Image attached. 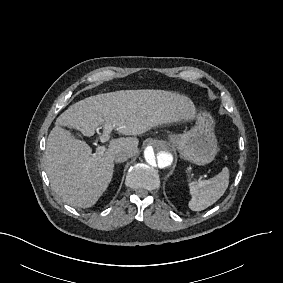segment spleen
<instances>
[{"label": "spleen", "mask_w": 283, "mask_h": 283, "mask_svg": "<svg viewBox=\"0 0 283 283\" xmlns=\"http://www.w3.org/2000/svg\"><path fill=\"white\" fill-rule=\"evenodd\" d=\"M228 186L229 172L227 168L211 179L200 178L198 181H189L188 189L191 198L188 207L193 211L204 210L218 201Z\"/></svg>", "instance_id": "3e777b00"}]
</instances>
